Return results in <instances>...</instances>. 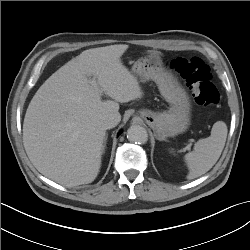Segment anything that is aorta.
I'll return each instance as SVG.
<instances>
[{"instance_id": "aorta-1", "label": "aorta", "mask_w": 250, "mask_h": 250, "mask_svg": "<svg viewBox=\"0 0 250 250\" xmlns=\"http://www.w3.org/2000/svg\"><path fill=\"white\" fill-rule=\"evenodd\" d=\"M127 139L132 143L144 144L148 140V133L144 127L132 125L127 130Z\"/></svg>"}]
</instances>
